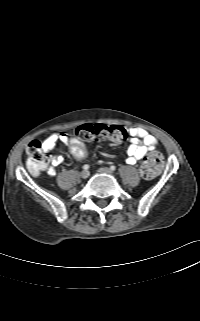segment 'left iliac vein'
I'll list each match as a JSON object with an SVG mask.
<instances>
[{"instance_id":"4c4485c4","label":"left iliac vein","mask_w":200,"mask_h":321,"mask_svg":"<svg viewBox=\"0 0 200 321\" xmlns=\"http://www.w3.org/2000/svg\"><path fill=\"white\" fill-rule=\"evenodd\" d=\"M100 173H105V174H112V170L107 168V167H102L98 170Z\"/></svg>"}]
</instances>
